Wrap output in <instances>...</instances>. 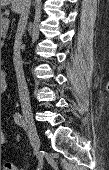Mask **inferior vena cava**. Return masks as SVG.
I'll return each mask as SVG.
<instances>
[{"instance_id":"602c4592","label":"inferior vena cava","mask_w":109,"mask_h":170,"mask_svg":"<svg viewBox=\"0 0 109 170\" xmlns=\"http://www.w3.org/2000/svg\"><path fill=\"white\" fill-rule=\"evenodd\" d=\"M30 3L31 0H25L23 4V8L20 11V19L18 22V28H17L15 43H14V52H13V62L16 71L19 98H20L21 105L24 108H30V99H29L27 83L24 76L20 50H21L22 35L24 33L27 24L28 15L30 12Z\"/></svg>"}]
</instances>
